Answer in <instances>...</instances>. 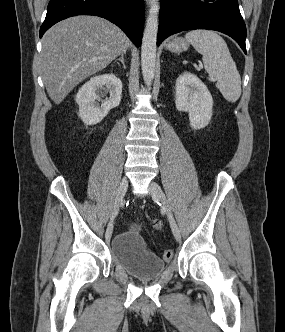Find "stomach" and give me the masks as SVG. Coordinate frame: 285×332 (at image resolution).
I'll use <instances>...</instances> for the list:
<instances>
[{"mask_svg":"<svg viewBox=\"0 0 285 332\" xmlns=\"http://www.w3.org/2000/svg\"><path fill=\"white\" fill-rule=\"evenodd\" d=\"M188 47H189L188 41L180 37L172 39L166 45V48L172 52H182L187 50Z\"/></svg>","mask_w":285,"mask_h":332,"instance_id":"obj_1","label":"stomach"}]
</instances>
